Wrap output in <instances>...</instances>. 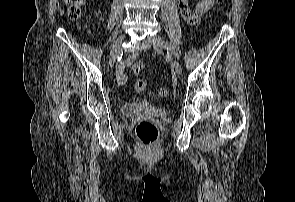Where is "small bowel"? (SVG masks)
I'll return each instance as SVG.
<instances>
[{"mask_svg":"<svg viewBox=\"0 0 295 202\" xmlns=\"http://www.w3.org/2000/svg\"><path fill=\"white\" fill-rule=\"evenodd\" d=\"M178 7L184 19L188 22L196 24L201 16L213 7L214 0H200L193 9L188 5L187 0H177ZM127 63L123 62L118 66L117 80L123 85L126 81Z\"/></svg>","mask_w":295,"mask_h":202,"instance_id":"small-bowel-1","label":"small bowel"}]
</instances>
